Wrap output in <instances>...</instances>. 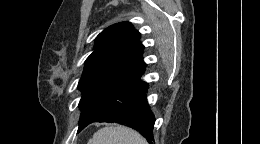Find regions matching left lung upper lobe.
<instances>
[{
  "instance_id": "1",
  "label": "left lung upper lobe",
  "mask_w": 260,
  "mask_h": 144,
  "mask_svg": "<svg viewBox=\"0 0 260 144\" xmlns=\"http://www.w3.org/2000/svg\"><path fill=\"white\" fill-rule=\"evenodd\" d=\"M140 33L130 22L109 26L96 38L78 83L82 110L78 132L88 125L116 92L145 67Z\"/></svg>"
}]
</instances>
